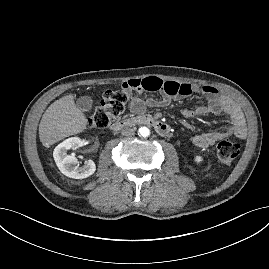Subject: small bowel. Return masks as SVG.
I'll return each mask as SVG.
<instances>
[{
  "instance_id": "obj_1",
  "label": "small bowel",
  "mask_w": 269,
  "mask_h": 269,
  "mask_svg": "<svg viewBox=\"0 0 269 269\" xmlns=\"http://www.w3.org/2000/svg\"><path fill=\"white\" fill-rule=\"evenodd\" d=\"M133 95L129 102V110L133 113H141L146 106L164 107L173 99H183L197 94L204 96L207 104L198 107L195 111H185L187 116H201L208 113L225 114L228 116V124L222 129L214 132L195 134L192 143L200 148L206 149L230 136L245 138L247 128L245 119L240 108L228 97L222 95L218 89L209 85H196L189 83H178L174 81H163L157 77L145 79H131L123 84ZM144 92H159V98H146Z\"/></svg>"
}]
</instances>
